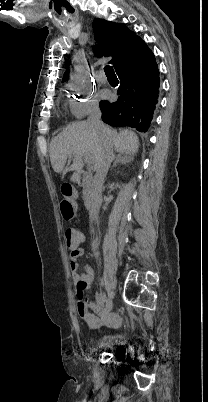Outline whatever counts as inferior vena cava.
I'll return each mask as SVG.
<instances>
[{
    "label": "inferior vena cava",
    "instance_id": "obj_1",
    "mask_svg": "<svg viewBox=\"0 0 208 402\" xmlns=\"http://www.w3.org/2000/svg\"><path fill=\"white\" fill-rule=\"evenodd\" d=\"M87 124L94 126V128H98V130H103V132H106L104 124L101 122V112L98 104L93 106L90 116L87 120ZM111 162L112 144L109 138H104V140H102V148L97 156L96 174L94 176L93 188L91 192V204L89 206V212L92 220H97L98 218L99 208L102 202L101 190L104 178H106V174L110 168Z\"/></svg>",
    "mask_w": 208,
    "mask_h": 402
}]
</instances>
